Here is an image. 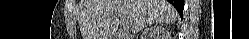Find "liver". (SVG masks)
<instances>
[{
    "label": "liver",
    "instance_id": "liver-1",
    "mask_svg": "<svg viewBox=\"0 0 249 39\" xmlns=\"http://www.w3.org/2000/svg\"><path fill=\"white\" fill-rule=\"evenodd\" d=\"M118 17L137 32L146 25L174 23L178 13L165 0H83L79 23L84 39H114Z\"/></svg>",
    "mask_w": 249,
    "mask_h": 39
}]
</instances>
